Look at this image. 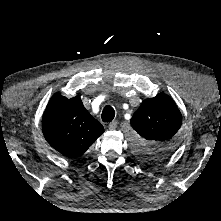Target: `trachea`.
Listing matches in <instances>:
<instances>
[{"instance_id":"1","label":"trachea","mask_w":221,"mask_h":221,"mask_svg":"<svg viewBox=\"0 0 221 221\" xmlns=\"http://www.w3.org/2000/svg\"><path fill=\"white\" fill-rule=\"evenodd\" d=\"M115 117V111L114 109L107 105L104 107L102 111V121L103 122H111Z\"/></svg>"}]
</instances>
